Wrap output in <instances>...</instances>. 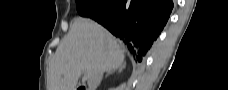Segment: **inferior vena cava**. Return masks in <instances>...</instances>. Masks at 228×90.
<instances>
[{"instance_id": "1", "label": "inferior vena cava", "mask_w": 228, "mask_h": 90, "mask_svg": "<svg viewBox=\"0 0 228 90\" xmlns=\"http://www.w3.org/2000/svg\"><path fill=\"white\" fill-rule=\"evenodd\" d=\"M103 70H95L88 78V90H95L103 78Z\"/></svg>"}]
</instances>
